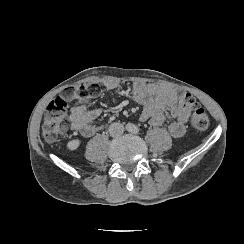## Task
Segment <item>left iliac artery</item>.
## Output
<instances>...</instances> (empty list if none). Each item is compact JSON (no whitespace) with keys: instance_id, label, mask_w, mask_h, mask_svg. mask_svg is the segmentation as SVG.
<instances>
[{"instance_id":"1","label":"left iliac artery","mask_w":244,"mask_h":244,"mask_svg":"<svg viewBox=\"0 0 244 244\" xmlns=\"http://www.w3.org/2000/svg\"><path fill=\"white\" fill-rule=\"evenodd\" d=\"M138 128L137 127H134V129H133V133H138Z\"/></svg>"}]
</instances>
